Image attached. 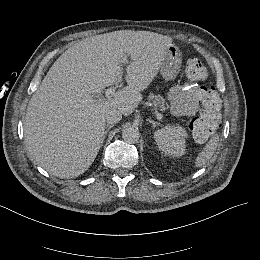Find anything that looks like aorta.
<instances>
[{
	"instance_id": "1",
	"label": "aorta",
	"mask_w": 260,
	"mask_h": 260,
	"mask_svg": "<svg viewBox=\"0 0 260 260\" xmlns=\"http://www.w3.org/2000/svg\"><path fill=\"white\" fill-rule=\"evenodd\" d=\"M139 136V130L133 126H126L122 131V138L128 143H136L139 140Z\"/></svg>"
}]
</instances>
